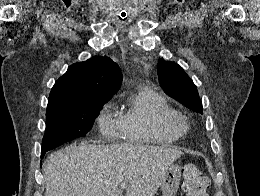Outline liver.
Listing matches in <instances>:
<instances>
[{
    "label": "liver",
    "mask_w": 260,
    "mask_h": 196,
    "mask_svg": "<svg viewBox=\"0 0 260 196\" xmlns=\"http://www.w3.org/2000/svg\"><path fill=\"white\" fill-rule=\"evenodd\" d=\"M183 152L174 146H96L80 142L50 154L44 166L45 196H155L165 174Z\"/></svg>",
    "instance_id": "obj_1"
}]
</instances>
